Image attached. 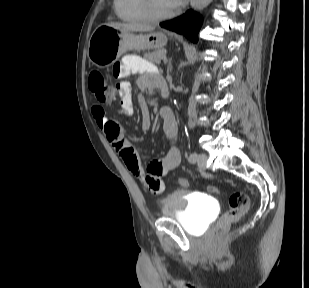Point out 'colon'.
Here are the masks:
<instances>
[{
    "mask_svg": "<svg viewBox=\"0 0 309 288\" xmlns=\"http://www.w3.org/2000/svg\"><path fill=\"white\" fill-rule=\"evenodd\" d=\"M88 86L94 97L100 102H108L113 97V92L104 77L99 71H92L88 75ZM177 183L182 187H187L189 181L186 178H179ZM211 190L217 192L216 187ZM249 197L244 192H234L229 197V208L226 211L223 220L214 230V236L220 237L224 234L228 227L240 220L249 208Z\"/></svg>",
    "mask_w": 309,
    "mask_h": 288,
    "instance_id": "5ec220e1",
    "label": "colon"
}]
</instances>
